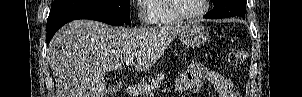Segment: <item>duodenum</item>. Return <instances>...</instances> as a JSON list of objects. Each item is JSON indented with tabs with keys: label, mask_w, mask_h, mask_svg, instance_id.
<instances>
[{
	"label": "duodenum",
	"mask_w": 302,
	"mask_h": 97,
	"mask_svg": "<svg viewBox=\"0 0 302 97\" xmlns=\"http://www.w3.org/2000/svg\"><path fill=\"white\" fill-rule=\"evenodd\" d=\"M140 89H141V86L139 83L130 84L127 87V93L129 96L134 97V96L138 95Z\"/></svg>",
	"instance_id": "obj_1"
}]
</instances>
